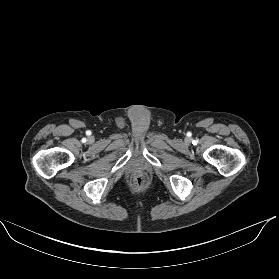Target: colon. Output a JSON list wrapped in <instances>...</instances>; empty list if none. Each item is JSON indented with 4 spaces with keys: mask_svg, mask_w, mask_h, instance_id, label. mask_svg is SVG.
<instances>
[{
    "mask_svg": "<svg viewBox=\"0 0 279 279\" xmlns=\"http://www.w3.org/2000/svg\"><path fill=\"white\" fill-rule=\"evenodd\" d=\"M132 182L133 185L139 189L147 187L149 183L148 178L143 174L134 177Z\"/></svg>",
    "mask_w": 279,
    "mask_h": 279,
    "instance_id": "obj_1",
    "label": "colon"
}]
</instances>
